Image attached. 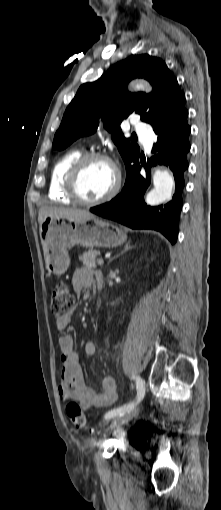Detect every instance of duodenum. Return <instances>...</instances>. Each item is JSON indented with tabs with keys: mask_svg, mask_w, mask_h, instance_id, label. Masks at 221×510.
Listing matches in <instances>:
<instances>
[{
	"mask_svg": "<svg viewBox=\"0 0 221 510\" xmlns=\"http://www.w3.org/2000/svg\"><path fill=\"white\" fill-rule=\"evenodd\" d=\"M102 284H103V275L101 273H98L96 275V285L98 288H101Z\"/></svg>",
	"mask_w": 221,
	"mask_h": 510,
	"instance_id": "410a0bca",
	"label": "duodenum"
}]
</instances>
